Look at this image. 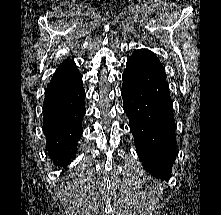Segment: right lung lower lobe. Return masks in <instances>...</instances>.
Instances as JSON below:
<instances>
[{"label": "right lung lower lobe", "mask_w": 221, "mask_h": 215, "mask_svg": "<svg viewBox=\"0 0 221 215\" xmlns=\"http://www.w3.org/2000/svg\"><path fill=\"white\" fill-rule=\"evenodd\" d=\"M84 99L82 76L75 63L67 60L56 69L48 84L43 106L47 149L60 165L74 158L76 142L82 133Z\"/></svg>", "instance_id": "right-lung-lower-lobe-1"}]
</instances>
